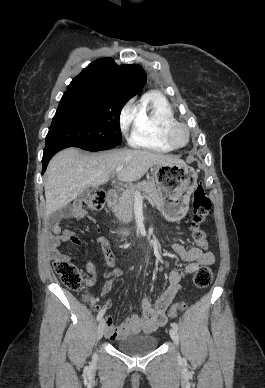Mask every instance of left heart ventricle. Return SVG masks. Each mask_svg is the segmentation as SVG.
<instances>
[{
	"mask_svg": "<svg viewBox=\"0 0 265 388\" xmlns=\"http://www.w3.org/2000/svg\"><path fill=\"white\" fill-rule=\"evenodd\" d=\"M175 140L177 143L181 144L185 141V134L182 130L177 129L175 132Z\"/></svg>",
	"mask_w": 265,
	"mask_h": 388,
	"instance_id": "left-heart-ventricle-1",
	"label": "left heart ventricle"
}]
</instances>
